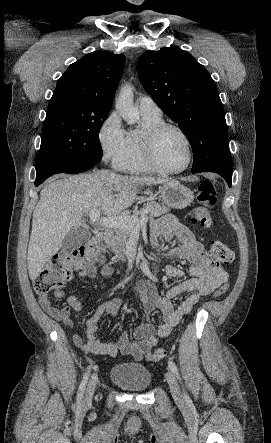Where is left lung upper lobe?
Masks as SVG:
<instances>
[{"instance_id":"5c2ea615","label":"left lung upper lobe","mask_w":271,"mask_h":443,"mask_svg":"<svg viewBox=\"0 0 271 443\" xmlns=\"http://www.w3.org/2000/svg\"><path fill=\"white\" fill-rule=\"evenodd\" d=\"M137 72L145 90L188 138L192 173L215 172L231 185L232 158L225 115L214 80L188 52L178 47L147 51Z\"/></svg>"}]
</instances>
